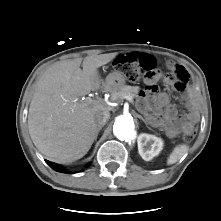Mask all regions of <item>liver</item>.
Returning <instances> with one entry per match:
<instances>
[{
  "mask_svg": "<svg viewBox=\"0 0 221 221\" xmlns=\"http://www.w3.org/2000/svg\"><path fill=\"white\" fill-rule=\"evenodd\" d=\"M117 53L59 61L47 68L37 82L28 114V128L37 149L47 158L72 162L82 158L93 144L97 125L95 115L110 107L78 97L103 86L98 68Z\"/></svg>",
  "mask_w": 221,
  "mask_h": 221,
  "instance_id": "1",
  "label": "liver"
}]
</instances>
